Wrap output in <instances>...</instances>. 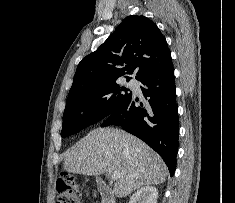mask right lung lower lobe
<instances>
[{
  "instance_id": "98d812e1",
  "label": "right lung lower lobe",
  "mask_w": 235,
  "mask_h": 203,
  "mask_svg": "<svg viewBox=\"0 0 235 203\" xmlns=\"http://www.w3.org/2000/svg\"><path fill=\"white\" fill-rule=\"evenodd\" d=\"M139 81L145 86L141 89L148 104L137 106L138 99L131 96L104 119L101 127L121 126L143 140L162 157L173 176L178 151L179 119L172 61L148 72Z\"/></svg>"
}]
</instances>
